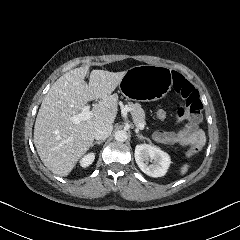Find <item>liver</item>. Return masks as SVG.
<instances>
[{
  "mask_svg": "<svg viewBox=\"0 0 240 240\" xmlns=\"http://www.w3.org/2000/svg\"><path fill=\"white\" fill-rule=\"evenodd\" d=\"M89 66L75 68L51 86L44 97L34 126V144L44 165L58 176H67L94 140V132L112 124L118 111V97L111 95L125 75L123 72L92 70L89 84L84 81ZM92 119L74 124L69 117L78 114L88 101Z\"/></svg>",
  "mask_w": 240,
  "mask_h": 240,
  "instance_id": "6515ba94",
  "label": "liver"
}]
</instances>
